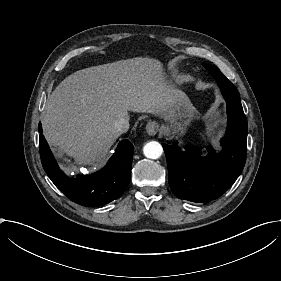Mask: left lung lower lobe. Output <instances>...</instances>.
<instances>
[{
    "instance_id": "1",
    "label": "left lung lower lobe",
    "mask_w": 281,
    "mask_h": 281,
    "mask_svg": "<svg viewBox=\"0 0 281 281\" xmlns=\"http://www.w3.org/2000/svg\"><path fill=\"white\" fill-rule=\"evenodd\" d=\"M227 102L228 127L221 140L222 151L208 147V155L177 144H162L167 159L168 179L180 199L208 203L224 194L241 174L247 151L248 125L237 88L226 77L216 79Z\"/></svg>"
}]
</instances>
